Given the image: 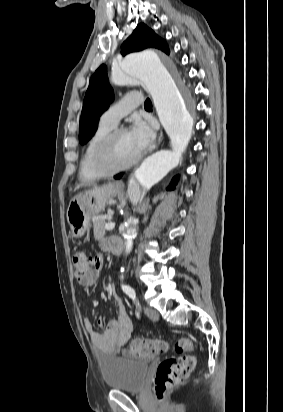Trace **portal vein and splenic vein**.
I'll use <instances>...</instances> for the list:
<instances>
[{
	"mask_svg": "<svg viewBox=\"0 0 283 412\" xmlns=\"http://www.w3.org/2000/svg\"><path fill=\"white\" fill-rule=\"evenodd\" d=\"M114 227H115V223L109 222L104 226V229L107 230V231H110V230L114 229Z\"/></svg>",
	"mask_w": 283,
	"mask_h": 412,
	"instance_id": "18ae733b",
	"label": "portal vein and splenic vein"
}]
</instances>
